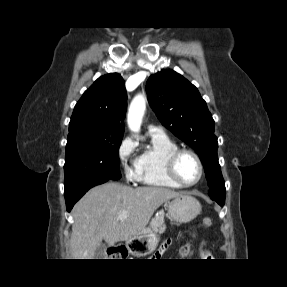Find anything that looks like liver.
<instances>
[{
  "mask_svg": "<svg viewBox=\"0 0 287 287\" xmlns=\"http://www.w3.org/2000/svg\"><path fill=\"white\" fill-rule=\"evenodd\" d=\"M180 195L167 188H131L115 182L92 188L73 209V259H95L102 240L108 245L128 240L146 228L157 208ZM124 210L127 217L119 219L118 214Z\"/></svg>",
  "mask_w": 287,
  "mask_h": 287,
  "instance_id": "6515ba94",
  "label": "liver"
}]
</instances>
